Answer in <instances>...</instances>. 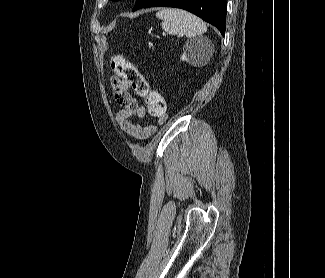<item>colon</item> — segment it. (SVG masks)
Instances as JSON below:
<instances>
[{
    "label": "colon",
    "instance_id": "obj_1",
    "mask_svg": "<svg viewBox=\"0 0 325 278\" xmlns=\"http://www.w3.org/2000/svg\"><path fill=\"white\" fill-rule=\"evenodd\" d=\"M112 71L123 81L130 84L137 94L144 96L148 113L163 118L165 116V101L162 95L150 87L147 79L124 55L115 54L110 58Z\"/></svg>",
    "mask_w": 325,
    "mask_h": 278
}]
</instances>
